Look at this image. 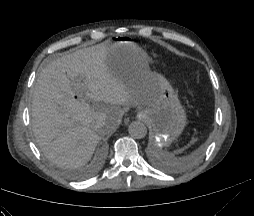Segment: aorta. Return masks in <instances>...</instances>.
<instances>
[{
  "label": "aorta",
  "mask_w": 254,
  "mask_h": 216,
  "mask_svg": "<svg viewBox=\"0 0 254 216\" xmlns=\"http://www.w3.org/2000/svg\"><path fill=\"white\" fill-rule=\"evenodd\" d=\"M128 132L135 139H142L147 134V127L140 121H133L128 127Z\"/></svg>",
  "instance_id": "aorta-1"
}]
</instances>
